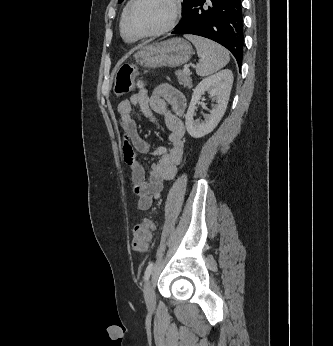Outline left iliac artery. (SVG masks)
Listing matches in <instances>:
<instances>
[{
    "mask_svg": "<svg viewBox=\"0 0 333 346\" xmlns=\"http://www.w3.org/2000/svg\"><path fill=\"white\" fill-rule=\"evenodd\" d=\"M152 269H153V262H150L144 273V277H143L144 281H147L149 279Z\"/></svg>",
    "mask_w": 333,
    "mask_h": 346,
    "instance_id": "44dca946",
    "label": "left iliac artery"
}]
</instances>
